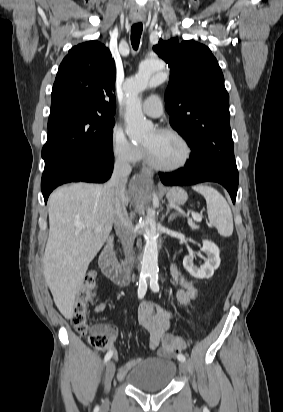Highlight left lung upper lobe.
Here are the masks:
<instances>
[{
  "instance_id": "1",
  "label": "left lung upper lobe",
  "mask_w": 283,
  "mask_h": 412,
  "mask_svg": "<svg viewBox=\"0 0 283 412\" xmlns=\"http://www.w3.org/2000/svg\"><path fill=\"white\" fill-rule=\"evenodd\" d=\"M153 50L170 66L165 95L171 126L191 149L202 146L214 159L229 164V179L238 183L230 129L229 95L210 49L195 41L160 40Z\"/></svg>"
}]
</instances>
